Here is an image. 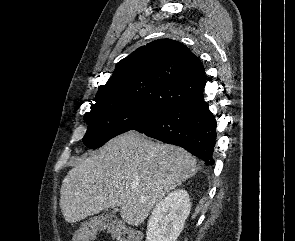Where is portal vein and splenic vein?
<instances>
[{
    "instance_id": "1",
    "label": "portal vein and splenic vein",
    "mask_w": 295,
    "mask_h": 241,
    "mask_svg": "<svg viewBox=\"0 0 295 241\" xmlns=\"http://www.w3.org/2000/svg\"><path fill=\"white\" fill-rule=\"evenodd\" d=\"M136 187H137V184L132 185V188H136Z\"/></svg>"
}]
</instances>
